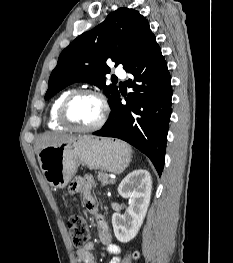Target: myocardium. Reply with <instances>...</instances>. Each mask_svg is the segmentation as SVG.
Here are the masks:
<instances>
[{
    "instance_id": "myocardium-1",
    "label": "myocardium",
    "mask_w": 233,
    "mask_h": 263,
    "mask_svg": "<svg viewBox=\"0 0 233 263\" xmlns=\"http://www.w3.org/2000/svg\"><path fill=\"white\" fill-rule=\"evenodd\" d=\"M84 96H90V97H94L98 99L102 107V113H101V116L98 122L89 127H81V126L76 125L68 116V109L70 105L72 104V102ZM108 112H109V107H108V103L104 95L94 90L85 89V90L74 91L70 93L63 100V102L61 103L59 107L58 118L61 124H63L65 127L71 130H74L76 132H82V133H92V132L98 131L99 129L103 127V125L106 122Z\"/></svg>"
}]
</instances>
